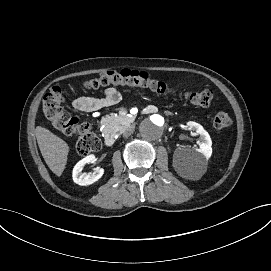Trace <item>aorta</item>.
Segmentation results:
<instances>
[{"label":"aorta","mask_w":271,"mask_h":271,"mask_svg":"<svg viewBox=\"0 0 271 271\" xmlns=\"http://www.w3.org/2000/svg\"><path fill=\"white\" fill-rule=\"evenodd\" d=\"M166 126L167 122L164 117L154 114L140 123L139 132L146 140H157L163 135Z\"/></svg>","instance_id":"aorta-1"}]
</instances>
